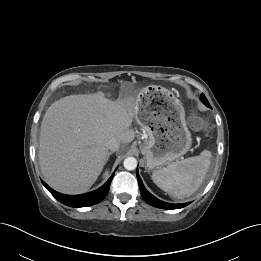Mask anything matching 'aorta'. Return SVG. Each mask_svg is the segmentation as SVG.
Instances as JSON below:
<instances>
[{
  "label": "aorta",
  "instance_id": "aorta-1",
  "mask_svg": "<svg viewBox=\"0 0 261 261\" xmlns=\"http://www.w3.org/2000/svg\"><path fill=\"white\" fill-rule=\"evenodd\" d=\"M123 165L126 170H134L137 167V160L134 157H127L124 160Z\"/></svg>",
  "mask_w": 261,
  "mask_h": 261
}]
</instances>
